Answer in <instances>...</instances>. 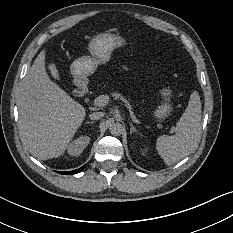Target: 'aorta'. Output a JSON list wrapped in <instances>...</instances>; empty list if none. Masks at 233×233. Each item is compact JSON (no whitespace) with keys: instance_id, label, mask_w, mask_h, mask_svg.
Returning <instances> with one entry per match:
<instances>
[{"instance_id":"1","label":"aorta","mask_w":233,"mask_h":233,"mask_svg":"<svg viewBox=\"0 0 233 233\" xmlns=\"http://www.w3.org/2000/svg\"><path fill=\"white\" fill-rule=\"evenodd\" d=\"M121 129H122V125L118 122H113L110 125V132L112 135H120L121 134Z\"/></svg>"}]
</instances>
